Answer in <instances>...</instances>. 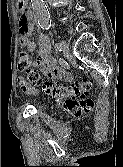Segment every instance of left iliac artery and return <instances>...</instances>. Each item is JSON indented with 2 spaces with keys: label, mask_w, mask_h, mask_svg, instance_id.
I'll return each mask as SVG.
<instances>
[{
  "label": "left iliac artery",
  "mask_w": 123,
  "mask_h": 167,
  "mask_svg": "<svg viewBox=\"0 0 123 167\" xmlns=\"http://www.w3.org/2000/svg\"><path fill=\"white\" fill-rule=\"evenodd\" d=\"M54 48H55L56 51H61L60 43H56Z\"/></svg>",
  "instance_id": "1"
}]
</instances>
